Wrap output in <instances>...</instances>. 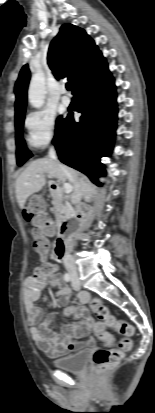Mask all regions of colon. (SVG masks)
Here are the masks:
<instances>
[{
	"mask_svg": "<svg viewBox=\"0 0 155 413\" xmlns=\"http://www.w3.org/2000/svg\"><path fill=\"white\" fill-rule=\"evenodd\" d=\"M33 198L34 200L22 210V215L32 226L33 248L40 255L41 259L45 261L50 247L49 240L43 233V228L49 226V218L43 202L46 195L44 192H35ZM43 270L49 273L52 267L50 264L44 263ZM90 307L100 321L105 322L116 332L124 335L117 347L100 348L94 353L93 361L98 371L105 373L116 367L120 363L123 354L131 349L132 342L130 336L134 330L125 319L112 315L108 307L99 299H92Z\"/></svg>",
	"mask_w": 155,
	"mask_h": 413,
	"instance_id": "obj_1",
	"label": "colon"
}]
</instances>
